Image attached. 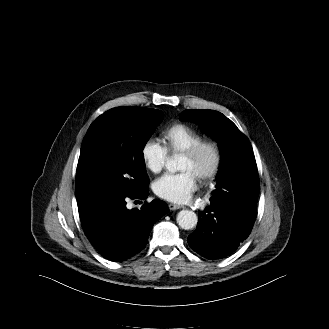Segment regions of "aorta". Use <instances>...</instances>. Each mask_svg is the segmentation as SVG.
Instances as JSON below:
<instances>
[{"mask_svg": "<svg viewBox=\"0 0 329 329\" xmlns=\"http://www.w3.org/2000/svg\"><path fill=\"white\" fill-rule=\"evenodd\" d=\"M180 161H181L180 158L171 159V160L167 161L166 168L171 173L179 171V170H181ZM176 220H177L178 225L182 229L190 230V229H193L197 225L198 217L193 211L182 210L178 213Z\"/></svg>", "mask_w": 329, "mask_h": 329, "instance_id": "762f6f07", "label": "aorta"}]
</instances>
